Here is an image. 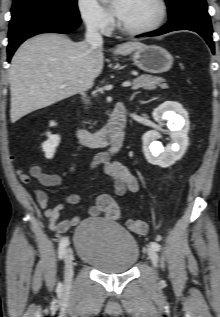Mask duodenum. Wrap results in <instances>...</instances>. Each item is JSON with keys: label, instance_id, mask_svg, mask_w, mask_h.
<instances>
[{"label": "duodenum", "instance_id": "410a0bca", "mask_svg": "<svg viewBox=\"0 0 220 317\" xmlns=\"http://www.w3.org/2000/svg\"><path fill=\"white\" fill-rule=\"evenodd\" d=\"M125 106L118 103L108 125L97 132H91L85 128L76 127L73 129L74 137L84 146L89 148H100L112 145L113 148H120L125 139Z\"/></svg>", "mask_w": 220, "mask_h": 317}]
</instances>
